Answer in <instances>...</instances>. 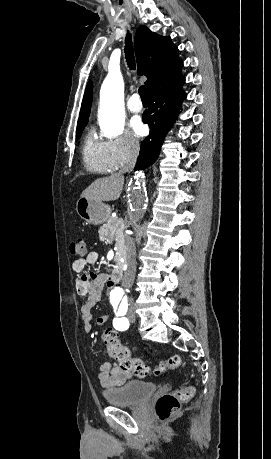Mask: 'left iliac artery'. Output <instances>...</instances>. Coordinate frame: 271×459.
Returning a JSON list of instances; mask_svg holds the SVG:
<instances>
[{
	"instance_id": "obj_1",
	"label": "left iliac artery",
	"mask_w": 271,
	"mask_h": 459,
	"mask_svg": "<svg viewBox=\"0 0 271 459\" xmlns=\"http://www.w3.org/2000/svg\"><path fill=\"white\" fill-rule=\"evenodd\" d=\"M114 306H115V308H114L113 312H114L115 316H125L126 315L128 305H126L124 307H117V305L115 304ZM113 326H114L115 329H117L119 331H124V330H127L129 328V321L125 317H123L121 319L114 318Z\"/></svg>"
}]
</instances>
